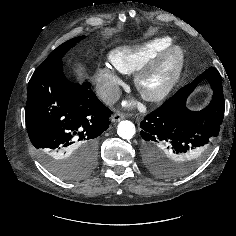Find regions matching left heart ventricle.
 <instances>
[{"label":"left heart ventricle","instance_id":"1","mask_svg":"<svg viewBox=\"0 0 236 236\" xmlns=\"http://www.w3.org/2000/svg\"><path fill=\"white\" fill-rule=\"evenodd\" d=\"M170 75V66L162 65L149 79L148 85L150 88H157L162 85Z\"/></svg>","mask_w":236,"mask_h":236}]
</instances>
